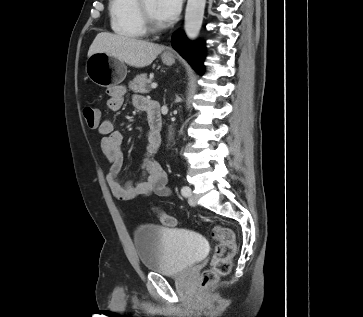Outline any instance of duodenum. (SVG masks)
Masks as SVG:
<instances>
[{"label": "duodenum", "mask_w": 363, "mask_h": 317, "mask_svg": "<svg viewBox=\"0 0 363 317\" xmlns=\"http://www.w3.org/2000/svg\"><path fill=\"white\" fill-rule=\"evenodd\" d=\"M148 116V138L149 144L158 148L161 143L162 116L160 112V104L156 101L147 102Z\"/></svg>", "instance_id": "duodenum-1"}]
</instances>
